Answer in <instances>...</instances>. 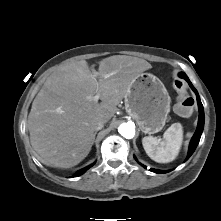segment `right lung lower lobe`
Listing matches in <instances>:
<instances>
[{"mask_svg":"<svg viewBox=\"0 0 221 221\" xmlns=\"http://www.w3.org/2000/svg\"><path fill=\"white\" fill-rule=\"evenodd\" d=\"M94 164H91L90 166L86 167V168H83L81 169L80 171H78L76 174H74L72 177H77V176H80L82 175L87 169H89L91 166H93Z\"/></svg>","mask_w":221,"mask_h":221,"instance_id":"98d812e1","label":"right lung lower lobe"}]
</instances>
